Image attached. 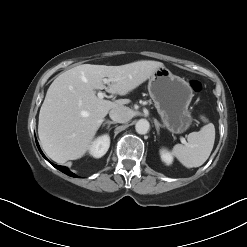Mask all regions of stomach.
<instances>
[{"instance_id": "0dacf381", "label": "stomach", "mask_w": 247, "mask_h": 247, "mask_svg": "<svg viewBox=\"0 0 247 247\" xmlns=\"http://www.w3.org/2000/svg\"><path fill=\"white\" fill-rule=\"evenodd\" d=\"M148 91L164 127L176 134L190 127L193 117L188 108L193 91L184 78L164 66L159 67L149 80Z\"/></svg>"}]
</instances>
